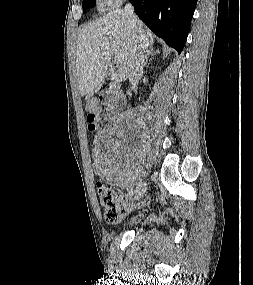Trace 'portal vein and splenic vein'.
<instances>
[{"label": "portal vein and splenic vein", "mask_w": 253, "mask_h": 285, "mask_svg": "<svg viewBox=\"0 0 253 285\" xmlns=\"http://www.w3.org/2000/svg\"><path fill=\"white\" fill-rule=\"evenodd\" d=\"M114 59H115L116 65H119V63L121 61L120 57L118 55H115Z\"/></svg>", "instance_id": "18ae733b"}]
</instances>
